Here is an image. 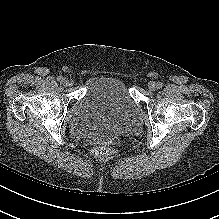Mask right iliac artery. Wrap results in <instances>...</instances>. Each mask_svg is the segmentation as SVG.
I'll list each match as a JSON object with an SVG mask.
<instances>
[{
    "label": "right iliac artery",
    "instance_id": "1",
    "mask_svg": "<svg viewBox=\"0 0 219 219\" xmlns=\"http://www.w3.org/2000/svg\"><path fill=\"white\" fill-rule=\"evenodd\" d=\"M63 79H64V78H63L62 76H58V77H57V80H58L59 82H62Z\"/></svg>",
    "mask_w": 219,
    "mask_h": 219
}]
</instances>
